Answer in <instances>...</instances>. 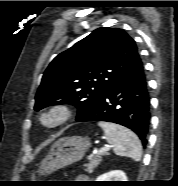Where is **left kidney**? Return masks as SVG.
Masks as SVG:
<instances>
[{
    "label": "left kidney",
    "mask_w": 178,
    "mask_h": 186,
    "mask_svg": "<svg viewBox=\"0 0 178 186\" xmlns=\"http://www.w3.org/2000/svg\"><path fill=\"white\" fill-rule=\"evenodd\" d=\"M96 181H127V176L123 171L115 170L100 175Z\"/></svg>",
    "instance_id": "1"
}]
</instances>
